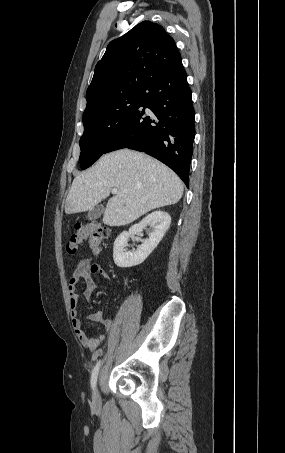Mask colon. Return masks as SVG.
<instances>
[{"mask_svg": "<svg viewBox=\"0 0 285 453\" xmlns=\"http://www.w3.org/2000/svg\"><path fill=\"white\" fill-rule=\"evenodd\" d=\"M108 235V229L98 221L78 224L67 243V251L74 254L87 245L93 252H98Z\"/></svg>", "mask_w": 285, "mask_h": 453, "instance_id": "colon-1", "label": "colon"}]
</instances>
